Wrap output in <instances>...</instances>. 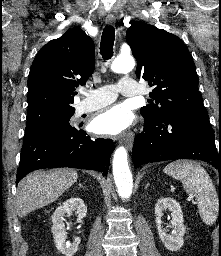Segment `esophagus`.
Instances as JSON below:
<instances>
[{
	"label": "esophagus",
	"mask_w": 221,
	"mask_h": 256,
	"mask_svg": "<svg viewBox=\"0 0 221 256\" xmlns=\"http://www.w3.org/2000/svg\"><path fill=\"white\" fill-rule=\"evenodd\" d=\"M114 23H115V18L113 16H107L106 24L113 25ZM118 140L120 142H124L127 145L128 149L130 150L132 148L133 141H134V133L128 132L123 135H120L118 137Z\"/></svg>",
	"instance_id": "obj_1"
}]
</instances>
